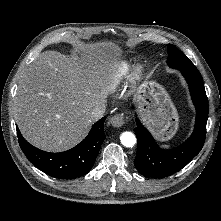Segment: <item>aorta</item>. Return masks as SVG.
<instances>
[{
    "label": "aorta",
    "mask_w": 221,
    "mask_h": 221,
    "mask_svg": "<svg viewBox=\"0 0 221 221\" xmlns=\"http://www.w3.org/2000/svg\"><path fill=\"white\" fill-rule=\"evenodd\" d=\"M120 141L125 147H133L136 143V137L132 132H123Z\"/></svg>",
    "instance_id": "obj_1"
}]
</instances>
